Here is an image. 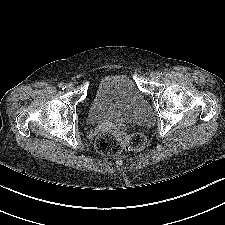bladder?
Listing matches in <instances>:
<instances>
[{
    "mask_svg": "<svg viewBox=\"0 0 225 225\" xmlns=\"http://www.w3.org/2000/svg\"><path fill=\"white\" fill-rule=\"evenodd\" d=\"M153 120L149 103L128 75L112 74L98 81L87 110L88 123L120 121L149 125Z\"/></svg>",
    "mask_w": 225,
    "mask_h": 225,
    "instance_id": "31cf9c89",
    "label": "bladder"
}]
</instances>
